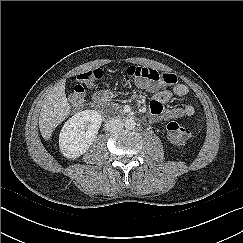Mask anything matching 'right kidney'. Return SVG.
Instances as JSON below:
<instances>
[{"label": "right kidney", "mask_w": 243, "mask_h": 243, "mask_svg": "<svg viewBox=\"0 0 243 243\" xmlns=\"http://www.w3.org/2000/svg\"><path fill=\"white\" fill-rule=\"evenodd\" d=\"M102 117L96 110H84L68 119L59 135L60 151L68 159L84 154L97 137Z\"/></svg>", "instance_id": "ca27d5eb"}]
</instances>
